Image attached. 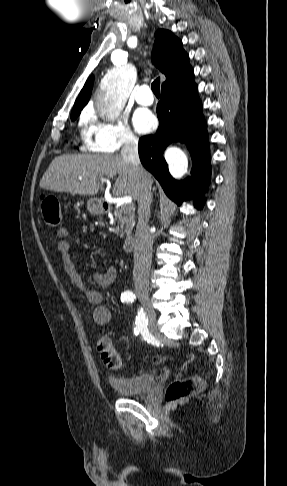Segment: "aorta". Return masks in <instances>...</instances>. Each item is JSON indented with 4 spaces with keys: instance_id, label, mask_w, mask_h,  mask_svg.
Instances as JSON below:
<instances>
[{
    "instance_id": "obj_1",
    "label": "aorta",
    "mask_w": 287,
    "mask_h": 486,
    "mask_svg": "<svg viewBox=\"0 0 287 486\" xmlns=\"http://www.w3.org/2000/svg\"><path fill=\"white\" fill-rule=\"evenodd\" d=\"M132 89L128 72H112L104 80L96 101L98 114L105 119L114 120L124 108ZM187 161L180 158L169 167L171 175L179 179L187 172Z\"/></svg>"
}]
</instances>
